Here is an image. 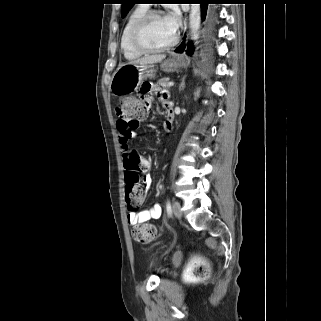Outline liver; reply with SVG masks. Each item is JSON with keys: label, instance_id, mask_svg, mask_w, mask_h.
I'll return each instance as SVG.
<instances>
[{"label": "liver", "instance_id": "1", "mask_svg": "<svg viewBox=\"0 0 321 321\" xmlns=\"http://www.w3.org/2000/svg\"><path fill=\"white\" fill-rule=\"evenodd\" d=\"M165 55H151L146 56L140 59H137L135 61L130 62V64H137V65H151L158 62H161L163 59H165Z\"/></svg>", "mask_w": 321, "mask_h": 321}]
</instances>
